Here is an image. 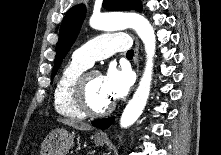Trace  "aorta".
Wrapping results in <instances>:
<instances>
[{"label":"aorta","mask_w":221,"mask_h":155,"mask_svg":"<svg viewBox=\"0 0 221 155\" xmlns=\"http://www.w3.org/2000/svg\"><path fill=\"white\" fill-rule=\"evenodd\" d=\"M89 23L92 28L103 31H116L128 27L133 28L144 43L146 52L144 73L137 90L128 102L120 118L121 127L127 128L139 118L149 97L153 57L156 48L154 29L144 16L137 13L93 15Z\"/></svg>","instance_id":"762f6f07"}]
</instances>
